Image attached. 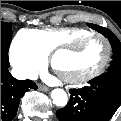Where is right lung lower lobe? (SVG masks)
<instances>
[{
	"instance_id": "obj_1",
	"label": "right lung lower lobe",
	"mask_w": 121,
	"mask_h": 121,
	"mask_svg": "<svg viewBox=\"0 0 121 121\" xmlns=\"http://www.w3.org/2000/svg\"><path fill=\"white\" fill-rule=\"evenodd\" d=\"M7 53L1 52V121H11L17 113L20 98L31 89H37L30 80L19 81L8 71Z\"/></svg>"
}]
</instances>
